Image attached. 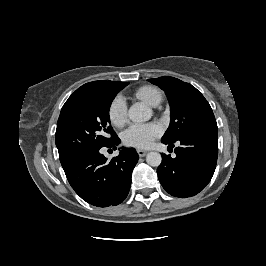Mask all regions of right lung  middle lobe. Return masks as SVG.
Segmentation results:
<instances>
[{
  "mask_svg": "<svg viewBox=\"0 0 266 266\" xmlns=\"http://www.w3.org/2000/svg\"><path fill=\"white\" fill-rule=\"evenodd\" d=\"M127 85V82L108 81L87 94L66 101L55 134L63 167L117 138L109 125V109L117 93Z\"/></svg>",
  "mask_w": 266,
  "mask_h": 266,
  "instance_id": "right-lung-middle-lobe-1",
  "label": "right lung middle lobe"
}]
</instances>
